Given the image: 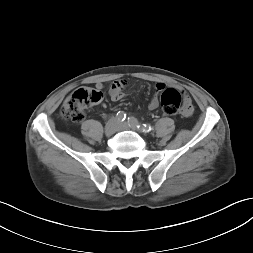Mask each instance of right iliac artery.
Here are the masks:
<instances>
[{
	"mask_svg": "<svg viewBox=\"0 0 253 253\" xmlns=\"http://www.w3.org/2000/svg\"><path fill=\"white\" fill-rule=\"evenodd\" d=\"M116 116L119 121H124L126 119V113L123 111H119Z\"/></svg>",
	"mask_w": 253,
	"mask_h": 253,
	"instance_id": "right-iliac-artery-1",
	"label": "right iliac artery"
}]
</instances>
